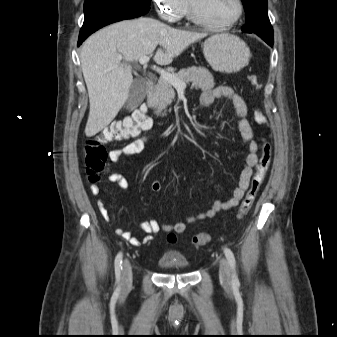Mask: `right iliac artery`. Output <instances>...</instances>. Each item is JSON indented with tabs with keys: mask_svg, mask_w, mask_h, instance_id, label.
Here are the masks:
<instances>
[{
	"mask_svg": "<svg viewBox=\"0 0 337 337\" xmlns=\"http://www.w3.org/2000/svg\"><path fill=\"white\" fill-rule=\"evenodd\" d=\"M122 252H119L115 258V274H116V279L119 280L120 278V273L122 270Z\"/></svg>",
	"mask_w": 337,
	"mask_h": 337,
	"instance_id": "obj_1",
	"label": "right iliac artery"
}]
</instances>
